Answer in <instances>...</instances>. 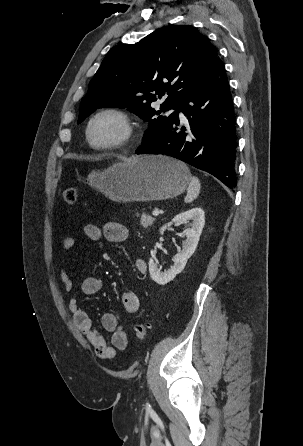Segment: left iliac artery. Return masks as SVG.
<instances>
[{
	"label": "left iliac artery",
	"instance_id": "44dca946",
	"mask_svg": "<svg viewBox=\"0 0 303 446\" xmlns=\"http://www.w3.org/2000/svg\"><path fill=\"white\" fill-rule=\"evenodd\" d=\"M146 409H147V411H149V412L152 411L151 406H150L149 403L146 404Z\"/></svg>",
	"mask_w": 303,
	"mask_h": 446
}]
</instances>
